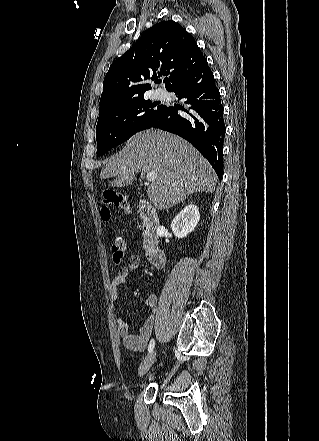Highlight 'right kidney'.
Instances as JSON below:
<instances>
[{
	"label": "right kidney",
	"instance_id": "obj_1",
	"mask_svg": "<svg viewBox=\"0 0 319 441\" xmlns=\"http://www.w3.org/2000/svg\"><path fill=\"white\" fill-rule=\"evenodd\" d=\"M200 219L199 210L196 205L188 204L174 218L171 229L178 238H184L194 231Z\"/></svg>",
	"mask_w": 319,
	"mask_h": 441
}]
</instances>
